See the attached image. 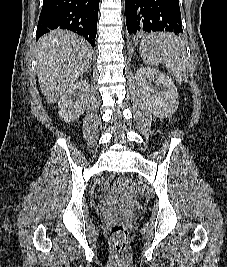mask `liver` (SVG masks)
Returning <instances> with one entry per match:
<instances>
[{"instance_id":"1","label":"liver","mask_w":227,"mask_h":267,"mask_svg":"<svg viewBox=\"0 0 227 267\" xmlns=\"http://www.w3.org/2000/svg\"><path fill=\"white\" fill-rule=\"evenodd\" d=\"M92 47L73 32L57 29L37 43L36 69L42 94L56 102L90 66Z\"/></svg>"}]
</instances>
